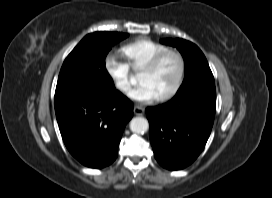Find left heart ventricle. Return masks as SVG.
I'll use <instances>...</instances> for the list:
<instances>
[{"mask_svg": "<svg viewBox=\"0 0 272 198\" xmlns=\"http://www.w3.org/2000/svg\"><path fill=\"white\" fill-rule=\"evenodd\" d=\"M179 68L178 58L175 55H169L153 72H141L139 83L148 84L156 97H159L172 89L177 80Z\"/></svg>", "mask_w": 272, "mask_h": 198, "instance_id": "b2bd125f", "label": "left heart ventricle"}]
</instances>
